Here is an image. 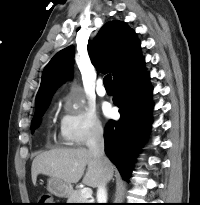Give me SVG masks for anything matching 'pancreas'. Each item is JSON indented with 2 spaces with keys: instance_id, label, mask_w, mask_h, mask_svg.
<instances>
[{
  "instance_id": "1",
  "label": "pancreas",
  "mask_w": 200,
  "mask_h": 205,
  "mask_svg": "<svg viewBox=\"0 0 200 205\" xmlns=\"http://www.w3.org/2000/svg\"><path fill=\"white\" fill-rule=\"evenodd\" d=\"M67 203H90L88 199H85L81 196L80 190H73L68 196Z\"/></svg>"
}]
</instances>
